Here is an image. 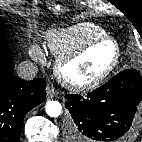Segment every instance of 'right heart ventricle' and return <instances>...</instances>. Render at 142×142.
<instances>
[{"label": "right heart ventricle", "instance_id": "1", "mask_svg": "<svg viewBox=\"0 0 142 142\" xmlns=\"http://www.w3.org/2000/svg\"><path fill=\"white\" fill-rule=\"evenodd\" d=\"M103 36H106V31L102 27L84 22L50 32L47 36V45L51 53L61 57Z\"/></svg>", "mask_w": 142, "mask_h": 142}]
</instances>
